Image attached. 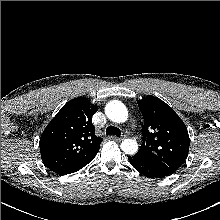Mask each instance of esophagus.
<instances>
[{"label":"esophagus","instance_id":"34e87169","mask_svg":"<svg viewBox=\"0 0 220 220\" xmlns=\"http://www.w3.org/2000/svg\"><path fill=\"white\" fill-rule=\"evenodd\" d=\"M115 141L117 142H121L122 140H124L126 137H112Z\"/></svg>","mask_w":220,"mask_h":220}]
</instances>
